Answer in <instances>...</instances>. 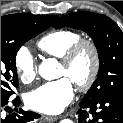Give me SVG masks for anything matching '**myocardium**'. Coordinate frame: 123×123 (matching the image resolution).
I'll return each instance as SVG.
<instances>
[{
    "mask_svg": "<svg viewBox=\"0 0 123 123\" xmlns=\"http://www.w3.org/2000/svg\"><path fill=\"white\" fill-rule=\"evenodd\" d=\"M83 51H88L90 53L92 65L87 77L84 80L75 83L76 87L81 91L91 88L100 73L101 56L97 44L91 39L80 38L66 51L61 58V65L65 68H70Z\"/></svg>",
    "mask_w": 123,
    "mask_h": 123,
    "instance_id": "obj_1",
    "label": "myocardium"
}]
</instances>
